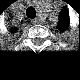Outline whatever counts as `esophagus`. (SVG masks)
I'll use <instances>...</instances> for the list:
<instances>
[{
    "mask_svg": "<svg viewBox=\"0 0 80 80\" xmlns=\"http://www.w3.org/2000/svg\"><path fill=\"white\" fill-rule=\"evenodd\" d=\"M33 23H39L38 18L33 19Z\"/></svg>",
    "mask_w": 80,
    "mask_h": 80,
    "instance_id": "34e87169",
    "label": "esophagus"
}]
</instances>
